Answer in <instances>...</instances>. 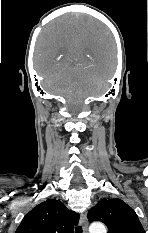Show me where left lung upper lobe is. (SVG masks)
<instances>
[{
	"label": "left lung upper lobe",
	"instance_id": "5c2ea615",
	"mask_svg": "<svg viewBox=\"0 0 148 233\" xmlns=\"http://www.w3.org/2000/svg\"><path fill=\"white\" fill-rule=\"evenodd\" d=\"M88 220L103 222L108 233H145L135 211L118 198L101 200L89 210Z\"/></svg>",
	"mask_w": 148,
	"mask_h": 233
}]
</instances>
